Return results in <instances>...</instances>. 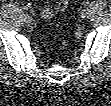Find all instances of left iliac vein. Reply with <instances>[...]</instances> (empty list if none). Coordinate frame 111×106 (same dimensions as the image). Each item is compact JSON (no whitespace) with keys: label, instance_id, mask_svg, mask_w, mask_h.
Masks as SVG:
<instances>
[{"label":"left iliac vein","instance_id":"obj_1","mask_svg":"<svg viewBox=\"0 0 111 106\" xmlns=\"http://www.w3.org/2000/svg\"><path fill=\"white\" fill-rule=\"evenodd\" d=\"M81 18H85L87 16V11L86 10H82L80 13Z\"/></svg>","mask_w":111,"mask_h":106}]
</instances>
